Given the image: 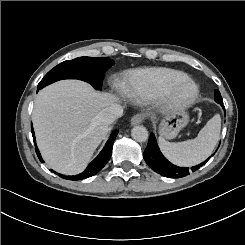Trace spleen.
I'll use <instances>...</instances> for the list:
<instances>
[{"label":"spleen","mask_w":245,"mask_h":245,"mask_svg":"<svg viewBox=\"0 0 245 245\" xmlns=\"http://www.w3.org/2000/svg\"><path fill=\"white\" fill-rule=\"evenodd\" d=\"M221 115L216 114L200 130L198 136L184 142H167L158 137V147L173 165L188 168L201 164L214 151L221 133Z\"/></svg>","instance_id":"spleen-1"}]
</instances>
